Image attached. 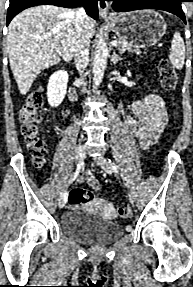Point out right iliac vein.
Here are the masks:
<instances>
[{
	"label": "right iliac vein",
	"instance_id": "63e3f726",
	"mask_svg": "<svg viewBox=\"0 0 193 287\" xmlns=\"http://www.w3.org/2000/svg\"><path fill=\"white\" fill-rule=\"evenodd\" d=\"M85 156H86V147L84 145H80L76 152L77 165L84 161ZM67 199H68V193L64 192L61 195L58 202L60 208H63L66 205Z\"/></svg>",
	"mask_w": 193,
	"mask_h": 287
}]
</instances>
